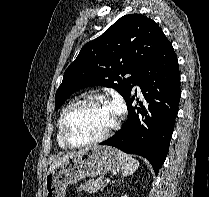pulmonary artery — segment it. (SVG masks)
I'll use <instances>...</instances> for the list:
<instances>
[{
  "label": "pulmonary artery",
  "instance_id": "e3ab8cb5",
  "mask_svg": "<svg viewBox=\"0 0 209 197\" xmlns=\"http://www.w3.org/2000/svg\"><path fill=\"white\" fill-rule=\"evenodd\" d=\"M136 88H137V90H139V86L138 85H136Z\"/></svg>",
  "mask_w": 209,
  "mask_h": 197
}]
</instances>
